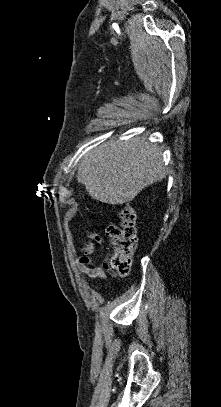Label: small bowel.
I'll return each mask as SVG.
<instances>
[{
    "label": "small bowel",
    "mask_w": 221,
    "mask_h": 407,
    "mask_svg": "<svg viewBox=\"0 0 221 407\" xmlns=\"http://www.w3.org/2000/svg\"><path fill=\"white\" fill-rule=\"evenodd\" d=\"M90 241L84 242L80 247V257L76 262L77 269L84 275L92 278H98L101 282L106 281L105 269L108 268L107 261L103 266H91L93 263L92 255L95 251V243L102 245V238L96 233L89 234Z\"/></svg>",
    "instance_id": "1"
}]
</instances>
